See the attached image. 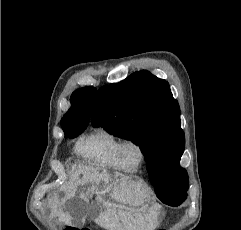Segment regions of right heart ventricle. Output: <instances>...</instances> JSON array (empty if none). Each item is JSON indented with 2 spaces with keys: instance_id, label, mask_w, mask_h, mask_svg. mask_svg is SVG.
Masks as SVG:
<instances>
[{
  "instance_id": "1",
  "label": "right heart ventricle",
  "mask_w": 241,
  "mask_h": 230,
  "mask_svg": "<svg viewBox=\"0 0 241 230\" xmlns=\"http://www.w3.org/2000/svg\"><path fill=\"white\" fill-rule=\"evenodd\" d=\"M122 138L115 132L97 127L81 138L76 146L77 153L86 161L127 170L120 161L118 149Z\"/></svg>"
}]
</instances>
